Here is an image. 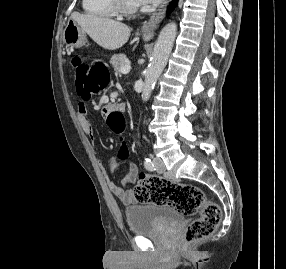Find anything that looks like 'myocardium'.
I'll return each mask as SVG.
<instances>
[{
    "instance_id": "obj_1",
    "label": "myocardium",
    "mask_w": 286,
    "mask_h": 269,
    "mask_svg": "<svg viewBox=\"0 0 286 269\" xmlns=\"http://www.w3.org/2000/svg\"><path fill=\"white\" fill-rule=\"evenodd\" d=\"M116 14L129 16L135 14L139 10L138 5H128L125 0H109Z\"/></svg>"
}]
</instances>
